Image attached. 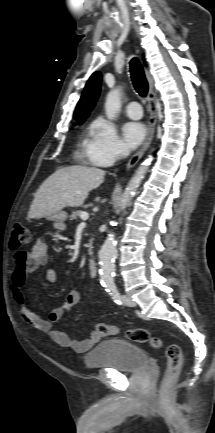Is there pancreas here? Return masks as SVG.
Listing matches in <instances>:
<instances>
[{"label": "pancreas", "instance_id": "1", "mask_svg": "<svg viewBox=\"0 0 215 433\" xmlns=\"http://www.w3.org/2000/svg\"><path fill=\"white\" fill-rule=\"evenodd\" d=\"M82 213H83V211H80V210L73 212V213L70 215V220H75V219H77V217L80 216Z\"/></svg>", "mask_w": 215, "mask_h": 433}]
</instances>
